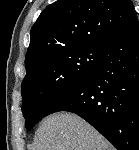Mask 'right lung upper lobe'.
<instances>
[{"mask_svg": "<svg viewBox=\"0 0 139 150\" xmlns=\"http://www.w3.org/2000/svg\"><path fill=\"white\" fill-rule=\"evenodd\" d=\"M135 17L131 0H57L31 28L27 74L55 55L106 47Z\"/></svg>", "mask_w": 139, "mask_h": 150, "instance_id": "1", "label": "right lung upper lobe"}]
</instances>
